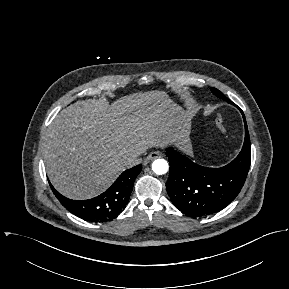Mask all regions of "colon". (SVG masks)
<instances>
[{
	"instance_id": "colon-1",
	"label": "colon",
	"mask_w": 289,
	"mask_h": 289,
	"mask_svg": "<svg viewBox=\"0 0 289 289\" xmlns=\"http://www.w3.org/2000/svg\"><path fill=\"white\" fill-rule=\"evenodd\" d=\"M214 125L220 132H222V133L226 132V129H225L224 125H223V122H222V120L220 118H217L215 120Z\"/></svg>"
}]
</instances>
